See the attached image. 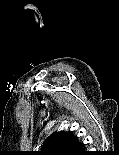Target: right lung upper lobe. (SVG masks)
<instances>
[{"label": "right lung upper lobe", "instance_id": "1", "mask_svg": "<svg viewBox=\"0 0 119 155\" xmlns=\"http://www.w3.org/2000/svg\"><path fill=\"white\" fill-rule=\"evenodd\" d=\"M77 142H79L78 137L74 136L71 131L55 132L44 141L37 155H65Z\"/></svg>", "mask_w": 119, "mask_h": 155}]
</instances>
